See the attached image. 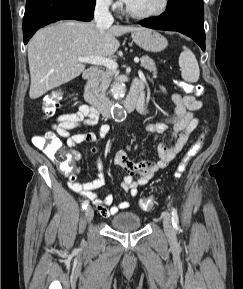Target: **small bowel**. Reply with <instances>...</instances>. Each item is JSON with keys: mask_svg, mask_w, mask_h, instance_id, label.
Returning <instances> with one entry per match:
<instances>
[{"mask_svg": "<svg viewBox=\"0 0 243 289\" xmlns=\"http://www.w3.org/2000/svg\"><path fill=\"white\" fill-rule=\"evenodd\" d=\"M133 87H142L141 81H135ZM163 90V89H162ZM174 103V110L160 120L147 125V131L153 135L155 146V160H141L134 162L123 150H119L114 155V164L123 169L126 173L122 180V189L132 197L138 194V189L146 185L155 174L166 168L171 161L183 150L188 143L192 133L197 128L199 120L195 116L202 108V103L192 95H181L174 93L171 96ZM142 113L149 115L150 110L144 104ZM99 120V114L92 107L82 104L75 112L59 115L51 127V132L58 138L66 140V145L70 149L75 162H79L81 155L75 150L79 144L90 143L93 146L90 151L97 154V178L89 182H77L80 168H75L68 178L69 188L92 202L99 213L104 217H110L130 207L127 201L113 205L114 197L107 192L103 199L99 198L97 190L105 185L104 163L100 155L98 144L104 140L110 132L108 124H102L97 133L84 132L72 134V131L83 126H94ZM173 126L168 130V125ZM167 136L165 140L161 138Z\"/></svg>", "mask_w": 243, "mask_h": 289, "instance_id": "1", "label": "small bowel"}]
</instances>
